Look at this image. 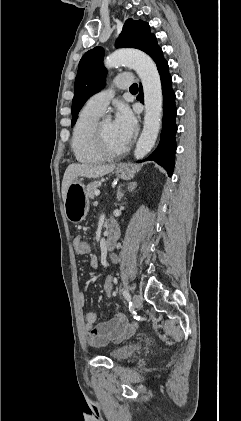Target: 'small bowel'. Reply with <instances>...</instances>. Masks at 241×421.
<instances>
[{
    "mask_svg": "<svg viewBox=\"0 0 241 421\" xmlns=\"http://www.w3.org/2000/svg\"><path fill=\"white\" fill-rule=\"evenodd\" d=\"M82 241L80 236H76L73 240L74 248ZM89 255V263L91 268L98 267V258L96 255ZM113 261L116 257H112ZM79 300L84 303L85 297L83 293L79 294ZM97 320V315L94 311H88L85 315V329L87 331V341L90 346L95 348H103L110 341H120L128 337L134 330L136 325L130 323L125 315L118 313L112 319L99 323L94 326Z\"/></svg>",
    "mask_w": 241,
    "mask_h": 421,
    "instance_id": "obj_1",
    "label": "small bowel"
}]
</instances>
